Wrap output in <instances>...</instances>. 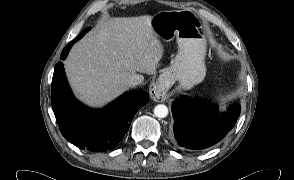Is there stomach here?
I'll list each match as a JSON object with an SVG mask.
<instances>
[{"label":"stomach","mask_w":294,"mask_h":180,"mask_svg":"<svg viewBox=\"0 0 294 180\" xmlns=\"http://www.w3.org/2000/svg\"><path fill=\"white\" fill-rule=\"evenodd\" d=\"M151 26L160 40L176 38L179 46L172 65L160 77L161 88L169 90L178 82L180 89L188 90L202 82L206 75V39L195 14L187 10L160 11L152 17Z\"/></svg>","instance_id":"0dacf381"}]
</instances>
